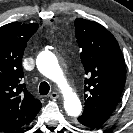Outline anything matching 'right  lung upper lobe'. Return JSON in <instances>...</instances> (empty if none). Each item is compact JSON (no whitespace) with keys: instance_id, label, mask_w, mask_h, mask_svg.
Masks as SVG:
<instances>
[{"instance_id":"1","label":"right lung upper lobe","mask_w":133,"mask_h":133,"mask_svg":"<svg viewBox=\"0 0 133 133\" xmlns=\"http://www.w3.org/2000/svg\"><path fill=\"white\" fill-rule=\"evenodd\" d=\"M38 24L13 22L0 27V127L15 130L29 123L41 109L22 83L26 42Z\"/></svg>"}]
</instances>
